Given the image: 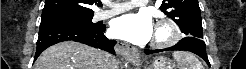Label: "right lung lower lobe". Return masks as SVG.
<instances>
[{
	"label": "right lung lower lobe",
	"instance_id": "98d812e1",
	"mask_svg": "<svg viewBox=\"0 0 246 69\" xmlns=\"http://www.w3.org/2000/svg\"><path fill=\"white\" fill-rule=\"evenodd\" d=\"M104 31V25L93 27L66 24L40 25L35 59L49 46L67 40L81 42L115 54L113 47L116 41L106 38Z\"/></svg>",
	"mask_w": 246,
	"mask_h": 69
}]
</instances>
